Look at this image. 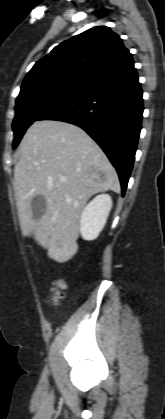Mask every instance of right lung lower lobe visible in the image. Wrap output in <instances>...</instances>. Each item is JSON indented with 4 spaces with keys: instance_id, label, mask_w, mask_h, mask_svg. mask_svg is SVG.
<instances>
[{
    "instance_id": "98d812e1",
    "label": "right lung lower lobe",
    "mask_w": 165,
    "mask_h": 419,
    "mask_svg": "<svg viewBox=\"0 0 165 419\" xmlns=\"http://www.w3.org/2000/svg\"><path fill=\"white\" fill-rule=\"evenodd\" d=\"M142 89L133 67L83 97L43 115L84 129L116 168L124 196L135 159L143 114Z\"/></svg>"
}]
</instances>
